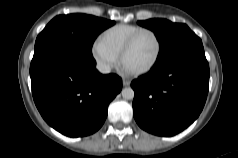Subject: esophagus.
<instances>
[{
  "mask_svg": "<svg viewBox=\"0 0 238 158\" xmlns=\"http://www.w3.org/2000/svg\"><path fill=\"white\" fill-rule=\"evenodd\" d=\"M130 85V81L127 79H123V86L127 87Z\"/></svg>",
  "mask_w": 238,
  "mask_h": 158,
  "instance_id": "obj_1",
  "label": "esophagus"
}]
</instances>
